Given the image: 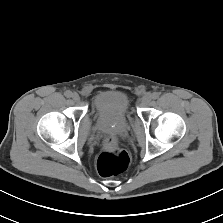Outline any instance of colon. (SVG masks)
Returning a JSON list of instances; mask_svg holds the SVG:
<instances>
[{"instance_id":"colon-1","label":"colon","mask_w":223,"mask_h":223,"mask_svg":"<svg viewBox=\"0 0 223 223\" xmlns=\"http://www.w3.org/2000/svg\"><path fill=\"white\" fill-rule=\"evenodd\" d=\"M130 158L126 151L118 147L117 140L110 137L103 152L97 159V170L102 177H112L124 172Z\"/></svg>"}]
</instances>
